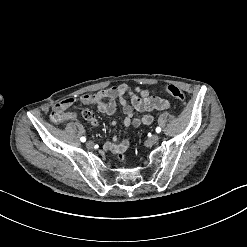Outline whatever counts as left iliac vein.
Instances as JSON below:
<instances>
[{"instance_id": "left-iliac-vein-1", "label": "left iliac vein", "mask_w": 247, "mask_h": 247, "mask_svg": "<svg viewBox=\"0 0 247 247\" xmlns=\"http://www.w3.org/2000/svg\"><path fill=\"white\" fill-rule=\"evenodd\" d=\"M159 140V135L158 134H154L148 141L147 144L152 145L157 143Z\"/></svg>"}]
</instances>
